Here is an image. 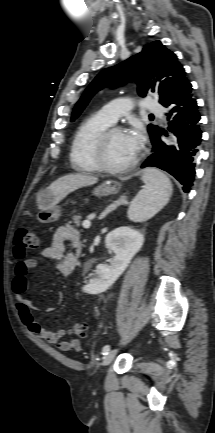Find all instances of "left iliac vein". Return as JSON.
Masks as SVG:
<instances>
[{
  "mask_svg": "<svg viewBox=\"0 0 215 433\" xmlns=\"http://www.w3.org/2000/svg\"><path fill=\"white\" fill-rule=\"evenodd\" d=\"M117 354V350L113 349L108 352V354L104 357L103 366H108L114 359Z\"/></svg>",
  "mask_w": 215,
  "mask_h": 433,
  "instance_id": "1",
  "label": "left iliac vein"
}]
</instances>
